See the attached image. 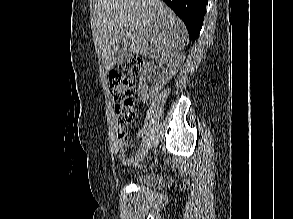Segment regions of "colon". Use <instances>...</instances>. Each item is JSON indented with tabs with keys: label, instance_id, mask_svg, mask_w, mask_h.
I'll use <instances>...</instances> for the list:
<instances>
[{
	"label": "colon",
	"instance_id": "1",
	"mask_svg": "<svg viewBox=\"0 0 293 219\" xmlns=\"http://www.w3.org/2000/svg\"><path fill=\"white\" fill-rule=\"evenodd\" d=\"M144 60L133 57L121 63L109 73L110 96L115 104L119 131L132 126L137 117L134 100L137 84L136 77L142 71Z\"/></svg>",
	"mask_w": 293,
	"mask_h": 219
}]
</instances>
